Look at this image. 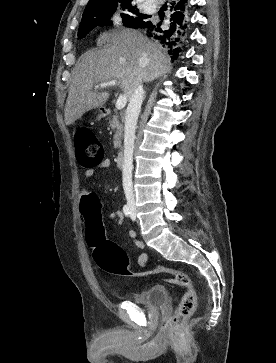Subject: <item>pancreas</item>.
Listing matches in <instances>:
<instances>
[{"label": "pancreas", "instance_id": "obj_1", "mask_svg": "<svg viewBox=\"0 0 276 363\" xmlns=\"http://www.w3.org/2000/svg\"><path fill=\"white\" fill-rule=\"evenodd\" d=\"M110 127L115 131L114 134V148L122 149V139H123V124L119 122L118 115L114 114L112 119L109 120Z\"/></svg>", "mask_w": 276, "mask_h": 363}]
</instances>
